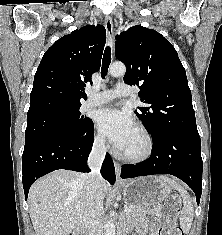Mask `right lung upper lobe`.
I'll return each instance as SVG.
<instances>
[{"mask_svg":"<svg viewBox=\"0 0 222 235\" xmlns=\"http://www.w3.org/2000/svg\"><path fill=\"white\" fill-rule=\"evenodd\" d=\"M105 42L102 25H87L57 40L35 73L27 117L87 99L85 83L100 69Z\"/></svg>","mask_w":222,"mask_h":235,"instance_id":"obj_1","label":"right lung upper lobe"}]
</instances>
